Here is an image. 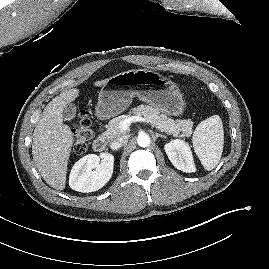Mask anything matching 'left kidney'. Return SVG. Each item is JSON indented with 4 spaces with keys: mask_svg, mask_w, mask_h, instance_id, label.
Segmentation results:
<instances>
[{
    "mask_svg": "<svg viewBox=\"0 0 269 269\" xmlns=\"http://www.w3.org/2000/svg\"><path fill=\"white\" fill-rule=\"evenodd\" d=\"M165 152L175 168L186 173L195 172L192 152L188 143L183 140H173L164 147Z\"/></svg>",
    "mask_w": 269,
    "mask_h": 269,
    "instance_id": "5707ae66",
    "label": "left kidney"
}]
</instances>
